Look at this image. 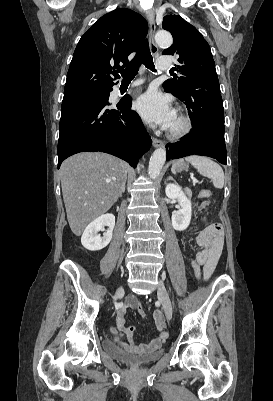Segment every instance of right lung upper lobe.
<instances>
[{"label": "right lung upper lobe", "mask_w": 273, "mask_h": 401, "mask_svg": "<svg viewBox=\"0 0 273 401\" xmlns=\"http://www.w3.org/2000/svg\"><path fill=\"white\" fill-rule=\"evenodd\" d=\"M147 31L142 16L126 8L98 19L77 44L64 97L111 90L115 83L110 75L119 77L117 72L129 63L128 55L137 50Z\"/></svg>", "instance_id": "1"}]
</instances>
